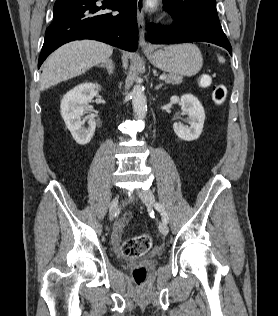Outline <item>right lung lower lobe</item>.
I'll return each instance as SVG.
<instances>
[{"label":"right lung lower lobe","mask_w":278,"mask_h":316,"mask_svg":"<svg viewBox=\"0 0 278 316\" xmlns=\"http://www.w3.org/2000/svg\"><path fill=\"white\" fill-rule=\"evenodd\" d=\"M97 1L56 0L54 20L46 30L38 68L55 49L74 40H98L131 52L137 49V0H104L102 5Z\"/></svg>","instance_id":"obj_1"}]
</instances>
